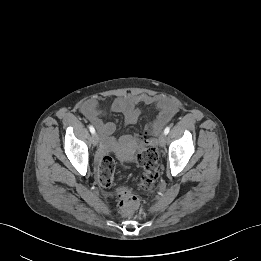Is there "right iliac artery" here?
Here are the masks:
<instances>
[{"instance_id": "right-iliac-artery-1", "label": "right iliac artery", "mask_w": 261, "mask_h": 261, "mask_svg": "<svg viewBox=\"0 0 261 261\" xmlns=\"http://www.w3.org/2000/svg\"><path fill=\"white\" fill-rule=\"evenodd\" d=\"M89 130H90V132H91L92 134L95 133V129H94V127H93L92 125L89 126Z\"/></svg>"}]
</instances>
